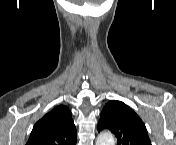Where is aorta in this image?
Listing matches in <instances>:
<instances>
[{
  "label": "aorta",
  "instance_id": "762f6f07",
  "mask_svg": "<svg viewBox=\"0 0 176 145\" xmlns=\"http://www.w3.org/2000/svg\"><path fill=\"white\" fill-rule=\"evenodd\" d=\"M96 145H115L114 136L110 132H102L97 137Z\"/></svg>",
  "mask_w": 176,
  "mask_h": 145
}]
</instances>
